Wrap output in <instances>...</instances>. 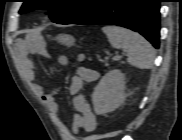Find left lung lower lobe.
I'll return each instance as SVG.
<instances>
[{"mask_svg":"<svg viewBox=\"0 0 182 140\" xmlns=\"http://www.w3.org/2000/svg\"><path fill=\"white\" fill-rule=\"evenodd\" d=\"M161 0H101L71 24L118 25L139 32L159 48Z\"/></svg>","mask_w":182,"mask_h":140,"instance_id":"obj_1","label":"left lung lower lobe"}]
</instances>
